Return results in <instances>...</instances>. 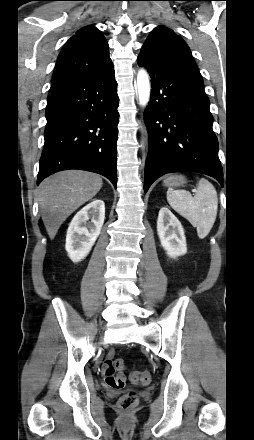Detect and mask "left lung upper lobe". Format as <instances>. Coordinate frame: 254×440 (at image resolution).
<instances>
[{"instance_id": "left-lung-upper-lobe-1", "label": "left lung upper lobe", "mask_w": 254, "mask_h": 440, "mask_svg": "<svg viewBox=\"0 0 254 440\" xmlns=\"http://www.w3.org/2000/svg\"><path fill=\"white\" fill-rule=\"evenodd\" d=\"M139 56L151 57L173 67L183 68L203 83L202 76L185 41L165 26H158L151 31Z\"/></svg>"}]
</instances>
